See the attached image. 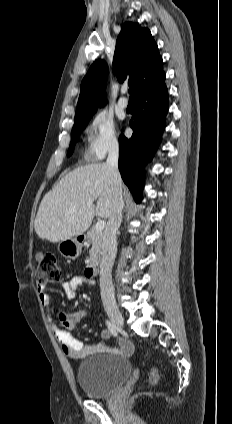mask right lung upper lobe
<instances>
[{
  "instance_id": "obj_1",
  "label": "right lung upper lobe",
  "mask_w": 232,
  "mask_h": 424,
  "mask_svg": "<svg viewBox=\"0 0 232 424\" xmlns=\"http://www.w3.org/2000/svg\"><path fill=\"white\" fill-rule=\"evenodd\" d=\"M114 74L119 82L128 80L135 95L152 87L161 77L163 61L150 31L138 23L125 22L118 35L113 58ZM107 65L96 60L81 82L75 120L93 115L106 104Z\"/></svg>"
}]
</instances>
